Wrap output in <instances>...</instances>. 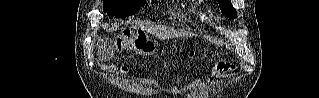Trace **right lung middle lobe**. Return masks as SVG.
<instances>
[{
    "mask_svg": "<svg viewBox=\"0 0 319 98\" xmlns=\"http://www.w3.org/2000/svg\"><path fill=\"white\" fill-rule=\"evenodd\" d=\"M145 3V0H104L103 11L110 16L123 18L137 12Z\"/></svg>",
    "mask_w": 319,
    "mask_h": 98,
    "instance_id": "obj_1",
    "label": "right lung middle lobe"
}]
</instances>
